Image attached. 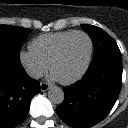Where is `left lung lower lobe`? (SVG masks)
<instances>
[{"mask_svg": "<svg viewBox=\"0 0 128 128\" xmlns=\"http://www.w3.org/2000/svg\"><path fill=\"white\" fill-rule=\"evenodd\" d=\"M122 84L120 50L94 57L85 76L63 88L65 98L57 115L74 128H90L102 121L113 108Z\"/></svg>", "mask_w": 128, "mask_h": 128, "instance_id": "1", "label": "left lung lower lobe"}]
</instances>
